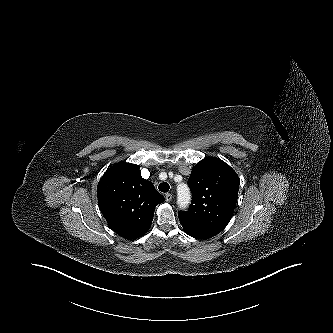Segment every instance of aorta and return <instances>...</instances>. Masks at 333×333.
<instances>
[{
	"instance_id": "762f6f07",
	"label": "aorta",
	"mask_w": 333,
	"mask_h": 333,
	"mask_svg": "<svg viewBox=\"0 0 333 333\" xmlns=\"http://www.w3.org/2000/svg\"><path fill=\"white\" fill-rule=\"evenodd\" d=\"M191 195L190 191L185 184H181L178 186V205L180 208H186L190 203Z\"/></svg>"
}]
</instances>
